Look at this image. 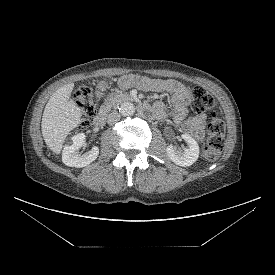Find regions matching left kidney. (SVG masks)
Returning a JSON list of instances; mask_svg holds the SVG:
<instances>
[{"label": "left kidney", "instance_id": "left-kidney-1", "mask_svg": "<svg viewBox=\"0 0 275 275\" xmlns=\"http://www.w3.org/2000/svg\"><path fill=\"white\" fill-rule=\"evenodd\" d=\"M182 138L188 145L186 149H176L172 145H169L166 148V152L172 162L179 166L187 167L197 161L199 157V146L198 143L188 134H183Z\"/></svg>", "mask_w": 275, "mask_h": 275}]
</instances>
